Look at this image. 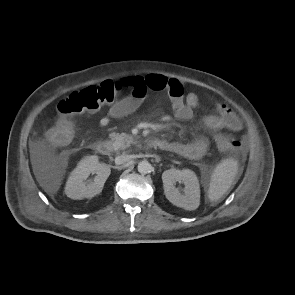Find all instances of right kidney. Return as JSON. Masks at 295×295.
<instances>
[{"label":"right kidney","mask_w":295,"mask_h":295,"mask_svg":"<svg viewBox=\"0 0 295 295\" xmlns=\"http://www.w3.org/2000/svg\"><path fill=\"white\" fill-rule=\"evenodd\" d=\"M110 173V167L100 163L98 156H87L71 172L66 183L65 193L67 197L75 200L92 198L102 191ZM90 174H96L93 180H87Z\"/></svg>","instance_id":"ca27d5eb"}]
</instances>
